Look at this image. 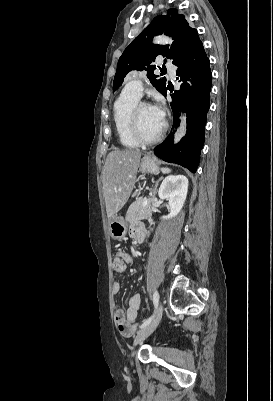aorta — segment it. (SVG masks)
<instances>
[{"label":"aorta","instance_id":"aorta-1","mask_svg":"<svg viewBox=\"0 0 273 401\" xmlns=\"http://www.w3.org/2000/svg\"><path fill=\"white\" fill-rule=\"evenodd\" d=\"M154 42L157 44H170L172 40L166 36H158L154 39ZM186 131H187L186 122L185 120H183L182 123L180 124L177 133L175 134V143H178L181 140V138L185 136Z\"/></svg>","mask_w":273,"mask_h":401}]
</instances>
